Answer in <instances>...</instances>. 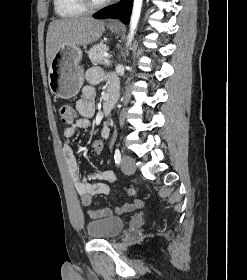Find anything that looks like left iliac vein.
<instances>
[{"label": "left iliac vein", "mask_w": 247, "mask_h": 280, "mask_svg": "<svg viewBox=\"0 0 247 280\" xmlns=\"http://www.w3.org/2000/svg\"><path fill=\"white\" fill-rule=\"evenodd\" d=\"M121 169L127 175L133 174L135 172L134 160L130 156L124 155L121 161Z\"/></svg>", "instance_id": "left-iliac-vein-1"}]
</instances>
